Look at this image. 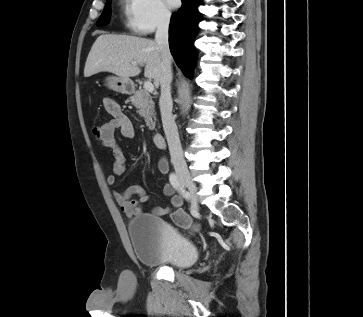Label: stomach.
<instances>
[{
	"mask_svg": "<svg viewBox=\"0 0 363 317\" xmlns=\"http://www.w3.org/2000/svg\"><path fill=\"white\" fill-rule=\"evenodd\" d=\"M105 85L116 92L130 94L133 90V84L129 79L118 76H109L105 80Z\"/></svg>",
	"mask_w": 363,
	"mask_h": 317,
	"instance_id": "0dacf381",
	"label": "stomach"
}]
</instances>
